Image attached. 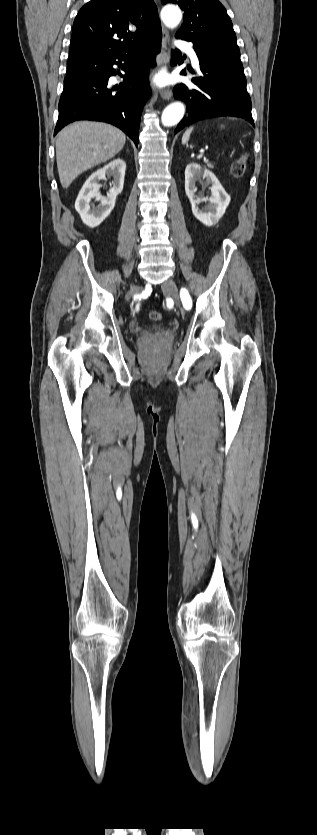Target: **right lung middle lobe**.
Wrapping results in <instances>:
<instances>
[{
  "instance_id": "1",
  "label": "right lung middle lobe",
  "mask_w": 317,
  "mask_h": 835,
  "mask_svg": "<svg viewBox=\"0 0 317 835\" xmlns=\"http://www.w3.org/2000/svg\"><path fill=\"white\" fill-rule=\"evenodd\" d=\"M89 76H90L89 73H84L83 72V73H80L78 75H73L71 77H66L65 80H64V83H68V82H71V81H77V80H80V79L87 78Z\"/></svg>"
}]
</instances>
